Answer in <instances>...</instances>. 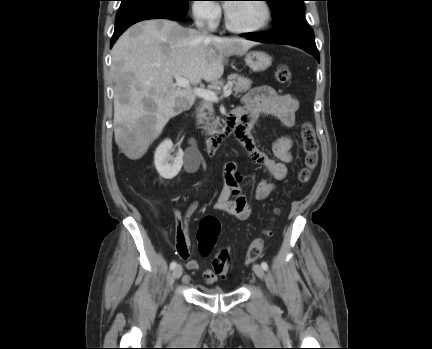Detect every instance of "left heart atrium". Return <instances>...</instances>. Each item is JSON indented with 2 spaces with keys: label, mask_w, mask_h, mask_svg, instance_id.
Here are the masks:
<instances>
[{
  "label": "left heart atrium",
  "mask_w": 432,
  "mask_h": 349,
  "mask_svg": "<svg viewBox=\"0 0 432 349\" xmlns=\"http://www.w3.org/2000/svg\"><path fill=\"white\" fill-rule=\"evenodd\" d=\"M229 6H230V3H227V4H226V8L228 9V8H229Z\"/></svg>",
  "instance_id": "1"
}]
</instances>
